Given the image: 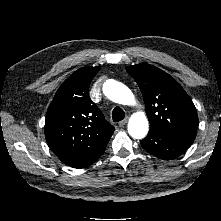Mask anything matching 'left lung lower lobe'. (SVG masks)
<instances>
[{"label": "left lung lower lobe", "mask_w": 221, "mask_h": 221, "mask_svg": "<svg viewBox=\"0 0 221 221\" xmlns=\"http://www.w3.org/2000/svg\"><path fill=\"white\" fill-rule=\"evenodd\" d=\"M193 136L164 134L150 130L140 141L142 147L152 155L169 160L181 155L194 141Z\"/></svg>", "instance_id": "0a47b994"}]
</instances>
